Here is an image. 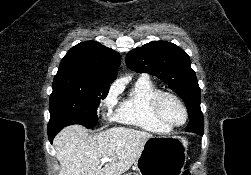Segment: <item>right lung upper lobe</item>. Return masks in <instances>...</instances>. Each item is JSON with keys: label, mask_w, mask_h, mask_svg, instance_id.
I'll use <instances>...</instances> for the list:
<instances>
[{"label": "right lung upper lobe", "mask_w": 251, "mask_h": 175, "mask_svg": "<svg viewBox=\"0 0 251 175\" xmlns=\"http://www.w3.org/2000/svg\"><path fill=\"white\" fill-rule=\"evenodd\" d=\"M120 60L117 52L96 41L81 42L63 57L54 80L110 87Z\"/></svg>", "instance_id": "right-lung-upper-lobe-1"}]
</instances>
